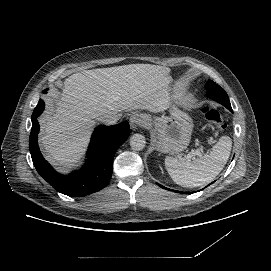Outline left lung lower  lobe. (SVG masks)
<instances>
[{
  "label": "left lung lower lobe",
  "instance_id": "left-lung-lower-lobe-1",
  "mask_svg": "<svg viewBox=\"0 0 271 271\" xmlns=\"http://www.w3.org/2000/svg\"><path fill=\"white\" fill-rule=\"evenodd\" d=\"M231 112H233L232 110H230ZM160 187H162V188H164V189H167V190H169L168 188H166V187H163L162 185H160V184H158ZM175 192H177V191H175Z\"/></svg>",
  "mask_w": 271,
  "mask_h": 271
}]
</instances>
